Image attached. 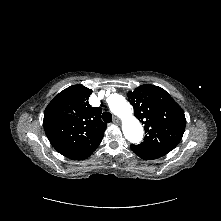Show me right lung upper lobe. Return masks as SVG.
Returning a JSON list of instances; mask_svg holds the SVG:
<instances>
[{"instance_id": "obj_1", "label": "right lung upper lobe", "mask_w": 221, "mask_h": 221, "mask_svg": "<svg viewBox=\"0 0 221 221\" xmlns=\"http://www.w3.org/2000/svg\"><path fill=\"white\" fill-rule=\"evenodd\" d=\"M92 90L79 84L70 86L48 104L44 112V130L52 146L63 156L84 160L99 146L107 124L102 109L92 107Z\"/></svg>"}]
</instances>
